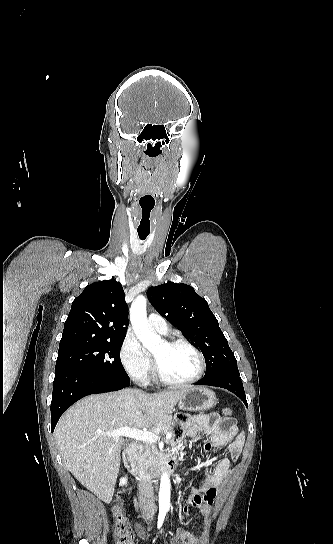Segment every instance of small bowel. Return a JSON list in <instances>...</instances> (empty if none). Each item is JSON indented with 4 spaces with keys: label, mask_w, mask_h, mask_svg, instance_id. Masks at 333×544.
Here are the masks:
<instances>
[{
    "label": "small bowel",
    "mask_w": 333,
    "mask_h": 544,
    "mask_svg": "<svg viewBox=\"0 0 333 544\" xmlns=\"http://www.w3.org/2000/svg\"><path fill=\"white\" fill-rule=\"evenodd\" d=\"M199 433L207 434L210 442L204 446L206 452L214 448L228 446L229 457L220 459L212 471L205 477L201 485L192 488L191 495L186 499L183 505V513L187 517L190 507H196L207 519L210 514V506L216 497L219 487L222 485L230 471L231 463L238 459L241 454L244 436L238 432L234 421L229 420L228 425L216 414L195 415L188 418L179 419L177 426L176 444H179L185 436L194 437ZM205 527L199 535L179 530L176 538L171 540V544H202L207 537V520ZM137 534L145 537V531L140 524L135 525Z\"/></svg>",
    "instance_id": "small-bowel-1"
}]
</instances>
